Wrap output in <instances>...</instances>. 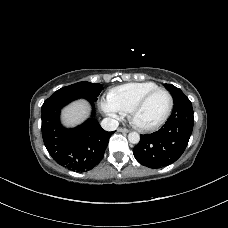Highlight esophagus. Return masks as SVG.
<instances>
[{
  "label": "esophagus",
  "mask_w": 228,
  "mask_h": 228,
  "mask_svg": "<svg viewBox=\"0 0 228 228\" xmlns=\"http://www.w3.org/2000/svg\"><path fill=\"white\" fill-rule=\"evenodd\" d=\"M117 131L118 132H124V133H128L129 132V130L126 129V128H118Z\"/></svg>",
  "instance_id": "1"
}]
</instances>
